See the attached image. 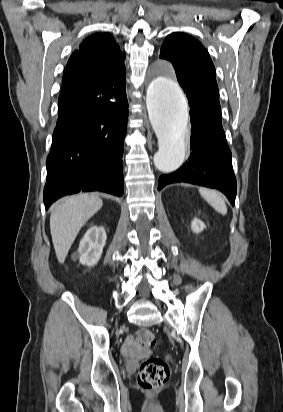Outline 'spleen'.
Wrapping results in <instances>:
<instances>
[{"label": "spleen", "instance_id": "obj_1", "mask_svg": "<svg viewBox=\"0 0 283 412\" xmlns=\"http://www.w3.org/2000/svg\"><path fill=\"white\" fill-rule=\"evenodd\" d=\"M201 196L220 214H227V206L222 196L213 190L200 188Z\"/></svg>", "mask_w": 283, "mask_h": 412}]
</instances>
